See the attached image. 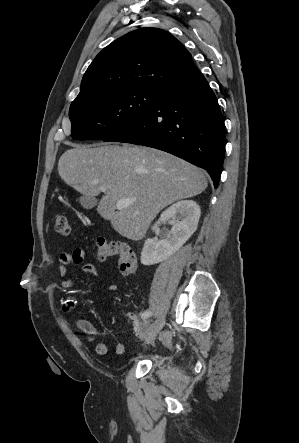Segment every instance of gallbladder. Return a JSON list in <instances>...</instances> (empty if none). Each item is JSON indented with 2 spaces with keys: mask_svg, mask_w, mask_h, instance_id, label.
<instances>
[{
  "mask_svg": "<svg viewBox=\"0 0 299 443\" xmlns=\"http://www.w3.org/2000/svg\"><path fill=\"white\" fill-rule=\"evenodd\" d=\"M79 201L82 207L85 209H92L97 203L94 197H89V196H81L79 198Z\"/></svg>",
  "mask_w": 299,
  "mask_h": 443,
  "instance_id": "gallbladder-1",
  "label": "gallbladder"
}]
</instances>
